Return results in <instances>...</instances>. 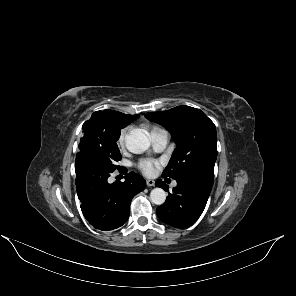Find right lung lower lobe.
Here are the masks:
<instances>
[{
    "mask_svg": "<svg viewBox=\"0 0 296 296\" xmlns=\"http://www.w3.org/2000/svg\"><path fill=\"white\" fill-rule=\"evenodd\" d=\"M119 171L125 174V181L109 184L107 179L112 172L98 158L77 153V195L84 217L96 229L108 231L122 226L128 220L132 198L146 186L139 174L127 173L125 168Z\"/></svg>",
    "mask_w": 296,
    "mask_h": 296,
    "instance_id": "obj_1",
    "label": "right lung lower lobe"
}]
</instances>
